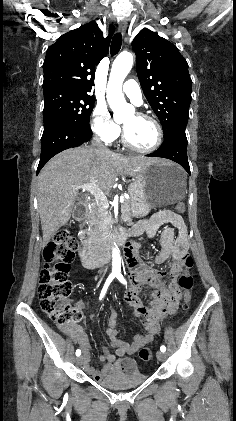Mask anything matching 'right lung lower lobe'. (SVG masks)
Masks as SVG:
<instances>
[{"instance_id":"98d812e1","label":"right lung lower lobe","mask_w":236,"mask_h":421,"mask_svg":"<svg viewBox=\"0 0 236 421\" xmlns=\"http://www.w3.org/2000/svg\"><path fill=\"white\" fill-rule=\"evenodd\" d=\"M91 136L92 132L87 133L67 125H55L45 130L41 138L42 148L37 174L54 155L89 141Z\"/></svg>"}]
</instances>
